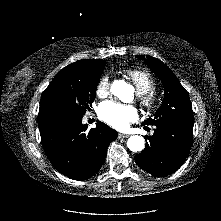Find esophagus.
Masks as SVG:
<instances>
[{
	"instance_id": "34e87169",
	"label": "esophagus",
	"mask_w": 221,
	"mask_h": 221,
	"mask_svg": "<svg viewBox=\"0 0 221 221\" xmlns=\"http://www.w3.org/2000/svg\"><path fill=\"white\" fill-rule=\"evenodd\" d=\"M128 137H129L128 134H122V133H120V134L118 135V138H119V139H121V138H128Z\"/></svg>"
}]
</instances>
